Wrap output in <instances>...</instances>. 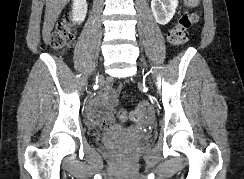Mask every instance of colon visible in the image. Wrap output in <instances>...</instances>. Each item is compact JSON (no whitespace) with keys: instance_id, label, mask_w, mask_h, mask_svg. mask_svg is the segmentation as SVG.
<instances>
[{"instance_id":"5ec220e1","label":"colon","mask_w":244,"mask_h":179,"mask_svg":"<svg viewBox=\"0 0 244 179\" xmlns=\"http://www.w3.org/2000/svg\"><path fill=\"white\" fill-rule=\"evenodd\" d=\"M187 3L186 11L180 17L178 23L171 28L169 31V38L172 44L177 47L184 46L189 39V30L193 28L196 23V13L193 12L197 8V0H183ZM74 39V28L70 24L59 23L52 33L51 46L56 50L67 49L71 46ZM149 107V102H138L136 108H133L129 112L131 120H142L144 111ZM118 111H114V116H118L121 119V123H128V118H123L125 116L126 107H120L119 104L115 105Z\"/></svg>"}]
</instances>
